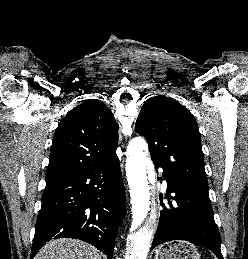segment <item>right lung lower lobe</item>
<instances>
[{"label": "right lung lower lobe", "mask_w": 248, "mask_h": 259, "mask_svg": "<svg viewBox=\"0 0 248 259\" xmlns=\"http://www.w3.org/2000/svg\"><path fill=\"white\" fill-rule=\"evenodd\" d=\"M125 216L118 156L108 162L46 178L31 259L49 240L80 239L112 259L118 226Z\"/></svg>", "instance_id": "right-lung-lower-lobe-1"}]
</instances>
